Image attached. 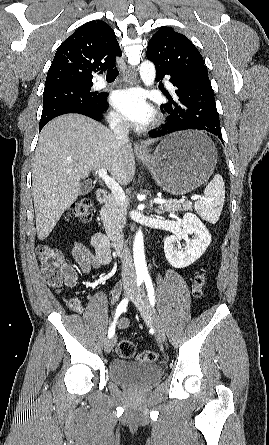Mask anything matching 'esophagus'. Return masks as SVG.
<instances>
[{
  "instance_id": "34e87169",
  "label": "esophagus",
  "mask_w": 269,
  "mask_h": 445,
  "mask_svg": "<svg viewBox=\"0 0 269 445\" xmlns=\"http://www.w3.org/2000/svg\"><path fill=\"white\" fill-rule=\"evenodd\" d=\"M126 81L130 84H135V85L139 84L137 72L131 67L127 69ZM140 148L144 149V147L142 146H140Z\"/></svg>"
}]
</instances>
